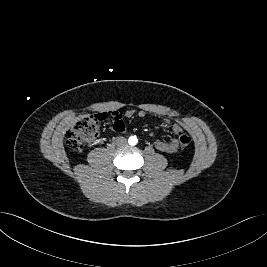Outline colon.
<instances>
[{"label": "colon", "instance_id": "obj_1", "mask_svg": "<svg viewBox=\"0 0 267 267\" xmlns=\"http://www.w3.org/2000/svg\"><path fill=\"white\" fill-rule=\"evenodd\" d=\"M105 118L104 114H96L77 121L65 133L67 147L76 151L91 143L98 136L101 123ZM177 137L182 148L185 149L191 144V138L183 131L178 132Z\"/></svg>", "mask_w": 267, "mask_h": 267}]
</instances>
